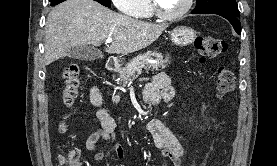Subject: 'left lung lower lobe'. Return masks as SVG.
Listing matches in <instances>:
<instances>
[{
	"instance_id": "left-lung-lower-lobe-1",
	"label": "left lung lower lobe",
	"mask_w": 277,
	"mask_h": 166,
	"mask_svg": "<svg viewBox=\"0 0 277 166\" xmlns=\"http://www.w3.org/2000/svg\"><path fill=\"white\" fill-rule=\"evenodd\" d=\"M224 18H226L234 27L235 31L240 34V22L238 20V17L236 16H232V15H228V14H218Z\"/></svg>"
}]
</instances>
